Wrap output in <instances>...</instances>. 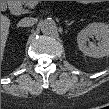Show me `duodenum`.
Segmentation results:
<instances>
[{"instance_id":"obj_1","label":"duodenum","mask_w":109,"mask_h":109,"mask_svg":"<svg viewBox=\"0 0 109 109\" xmlns=\"http://www.w3.org/2000/svg\"><path fill=\"white\" fill-rule=\"evenodd\" d=\"M10 7L13 10H18L19 9L16 4H11Z\"/></svg>"}]
</instances>
